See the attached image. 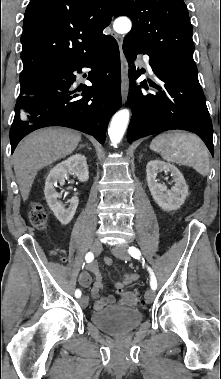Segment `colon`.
<instances>
[{
    "instance_id": "5ec220e1",
    "label": "colon",
    "mask_w": 221,
    "mask_h": 379,
    "mask_svg": "<svg viewBox=\"0 0 221 379\" xmlns=\"http://www.w3.org/2000/svg\"><path fill=\"white\" fill-rule=\"evenodd\" d=\"M30 222L37 229H44L47 225V215L40 204H35L30 212ZM121 303L124 305H137L141 303L138 294L133 292H124L121 294Z\"/></svg>"
}]
</instances>
